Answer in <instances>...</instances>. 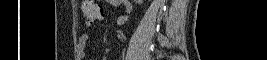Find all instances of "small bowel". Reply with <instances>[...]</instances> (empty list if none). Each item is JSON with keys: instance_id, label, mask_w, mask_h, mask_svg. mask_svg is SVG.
I'll use <instances>...</instances> for the list:
<instances>
[{"instance_id": "obj_1", "label": "small bowel", "mask_w": 267, "mask_h": 60, "mask_svg": "<svg viewBox=\"0 0 267 60\" xmlns=\"http://www.w3.org/2000/svg\"><path fill=\"white\" fill-rule=\"evenodd\" d=\"M125 3H127V2H125ZM124 8L127 10V9H128V5L125 4ZM125 20H126V16H122V17L119 19V23H124ZM80 40H81V43H82V44H86V43L88 42V40H89V35H88V34H82V35L80 36Z\"/></svg>"}]
</instances>
